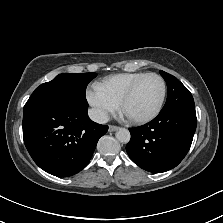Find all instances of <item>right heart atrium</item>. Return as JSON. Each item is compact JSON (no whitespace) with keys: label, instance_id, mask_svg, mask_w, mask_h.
<instances>
[{"label":"right heart atrium","instance_id":"d8ad5b80","mask_svg":"<svg viewBox=\"0 0 223 223\" xmlns=\"http://www.w3.org/2000/svg\"><path fill=\"white\" fill-rule=\"evenodd\" d=\"M88 101L92 106L93 116L99 121H104L110 114L117 113L119 108V103L110 98L97 84L92 86Z\"/></svg>","mask_w":223,"mask_h":223}]
</instances>
